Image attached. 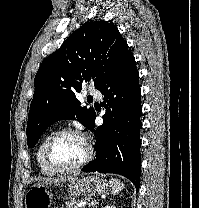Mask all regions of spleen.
Returning <instances> with one entry per match:
<instances>
[{
  "label": "spleen",
  "instance_id": "obj_1",
  "mask_svg": "<svg viewBox=\"0 0 199 208\" xmlns=\"http://www.w3.org/2000/svg\"><path fill=\"white\" fill-rule=\"evenodd\" d=\"M110 184L112 187V193L118 194L122 189H124V184L119 179H110Z\"/></svg>",
  "mask_w": 199,
  "mask_h": 208
}]
</instances>
